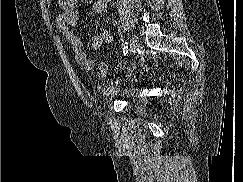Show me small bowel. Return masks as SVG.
<instances>
[{"instance_id":"small-bowel-1","label":"small bowel","mask_w":243,"mask_h":182,"mask_svg":"<svg viewBox=\"0 0 243 182\" xmlns=\"http://www.w3.org/2000/svg\"><path fill=\"white\" fill-rule=\"evenodd\" d=\"M112 0H96L91 3L90 11L92 14H102L109 2ZM78 0H59L61 9L60 14L56 18V26L60 34L68 41L72 47L76 63L85 70H92L94 62L88 57L83 50L81 38L74 32V28L78 22ZM111 40V35L106 29H101L91 38V47L93 50H99L105 43Z\"/></svg>"}]
</instances>
